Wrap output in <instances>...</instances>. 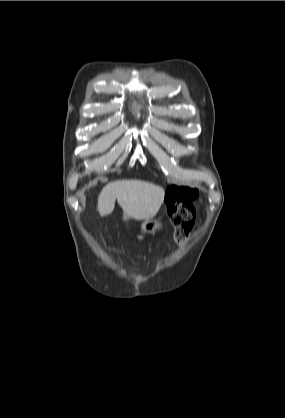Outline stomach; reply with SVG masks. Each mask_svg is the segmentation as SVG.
I'll return each instance as SVG.
<instances>
[{
  "instance_id": "stomach-1",
  "label": "stomach",
  "mask_w": 285,
  "mask_h": 418,
  "mask_svg": "<svg viewBox=\"0 0 285 418\" xmlns=\"http://www.w3.org/2000/svg\"><path fill=\"white\" fill-rule=\"evenodd\" d=\"M128 215L125 214L124 219H128ZM162 228V222L160 218H148L142 224V231L147 234H153Z\"/></svg>"
}]
</instances>
